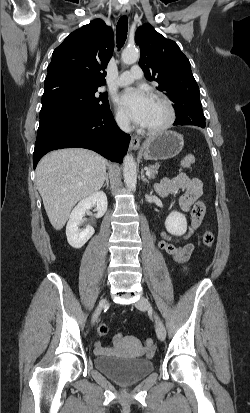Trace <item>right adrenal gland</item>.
I'll list each match as a JSON object with an SVG mask.
<instances>
[{
	"mask_svg": "<svg viewBox=\"0 0 250 413\" xmlns=\"http://www.w3.org/2000/svg\"><path fill=\"white\" fill-rule=\"evenodd\" d=\"M109 187V175L108 174H106V177H105V184L103 185V187Z\"/></svg>",
	"mask_w": 250,
	"mask_h": 413,
	"instance_id": "1",
	"label": "right adrenal gland"
}]
</instances>
